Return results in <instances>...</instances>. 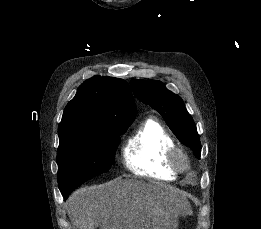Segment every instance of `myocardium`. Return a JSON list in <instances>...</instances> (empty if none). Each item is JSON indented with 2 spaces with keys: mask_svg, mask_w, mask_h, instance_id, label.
Instances as JSON below:
<instances>
[{
  "mask_svg": "<svg viewBox=\"0 0 261 229\" xmlns=\"http://www.w3.org/2000/svg\"><path fill=\"white\" fill-rule=\"evenodd\" d=\"M168 164L176 172H184L189 168V157L186 150L176 145L169 150Z\"/></svg>",
  "mask_w": 261,
  "mask_h": 229,
  "instance_id": "myocardium-1",
  "label": "myocardium"
}]
</instances>
